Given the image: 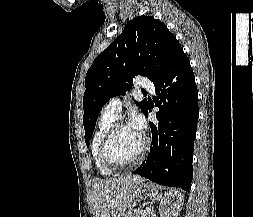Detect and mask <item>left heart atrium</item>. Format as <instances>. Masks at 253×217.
<instances>
[{"mask_svg": "<svg viewBox=\"0 0 253 217\" xmlns=\"http://www.w3.org/2000/svg\"><path fill=\"white\" fill-rule=\"evenodd\" d=\"M128 125L137 131L139 134L143 135L145 131V121L143 117L138 113H133L129 120Z\"/></svg>", "mask_w": 253, "mask_h": 217, "instance_id": "left-heart-atrium-1", "label": "left heart atrium"}]
</instances>
